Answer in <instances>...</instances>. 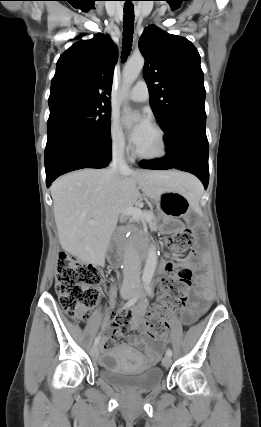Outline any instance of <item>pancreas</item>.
Wrapping results in <instances>:
<instances>
[{"mask_svg":"<svg viewBox=\"0 0 261 427\" xmlns=\"http://www.w3.org/2000/svg\"><path fill=\"white\" fill-rule=\"evenodd\" d=\"M147 214L150 216V218L147 220L151 230H156L157 229V224H156V219H155V215L152 211H147Z\"/></svg>","mask_w":261,"mask_h":427,"instance_id":"pancreas-1","label":"pancreas"}]
</instances>
